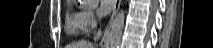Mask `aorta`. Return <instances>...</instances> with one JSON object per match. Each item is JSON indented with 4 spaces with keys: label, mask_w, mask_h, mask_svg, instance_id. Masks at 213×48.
I'll list each match as a JSON object with an SVG mask.
<instances>
[{
    "label": "aorta",
    "mask_w": 213,
    "mask_h": 48,
    "mask_svg": "<svg viewBox=\"0 0 213 48\" xmlns=\"http://www.w3.org/2000/svg\"><path fill=\"white\" fill-rule=\"evenodd\" d=\"M84 5L97 3L99 0H79ZM125 24V10L121 9L112 21L106 35L105 48H119Z\"/></svg>",
    "instance_id": "aorta-1"
}]
</instances>
